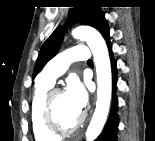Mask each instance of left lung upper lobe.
Segmentation results:
<instances>
[{
	"mask_svg": "<svg viewBox=\"0 0 155 141\" xmlns=\"http://www.w3.org/2000/svg\"><path fill=\"white\" fill-rule=\"evenodd\" d=\"M68 22L70 24L81 22L82 24L90 25L96 28L104 38L109 35V27L104 13L101 11L99 4L94 0H81L70 13ZM62 37L63 29L58 27L43 43L33 70V77L54 57L62 41Z\"/></svg>",
	"mask_w": 155,
	"mask_h": 141,
	"instance_id": "obj_1",
	"label": "left lung upper lobe"
}]
</instances>
